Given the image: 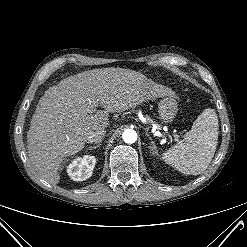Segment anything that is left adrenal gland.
I'll use <instances>...</instances> for the list:
<instances>
[{
	"mask_svg": "<svg viewBox=\"0 0 247 247\" xmlns=\"http://www.w3.org/2000/svg\"><path fill=\"white\" fill-rule=\"evenodd\" d=\"M146 135L148 136L149 140L151 141L150 142V150H152L156 155H158V150H157V147L154 143V141L152 140V138L150 137V135L148 133H146Z\"/></svg>",
	"mask_w": 247,
	"mask_h": 247,
	"instance_id": "left-adrenal-gland-1",
	"label": "left adrenal gland"
}]
</instances>
